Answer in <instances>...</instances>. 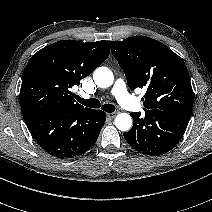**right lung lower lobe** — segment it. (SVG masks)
I'll return each instance as SVG.
<instances>
[{
	"label": "right lung lower lobe",
	"instance_id": "98d812e1",
	"mask_svg": "<svg viewBox=\"0 0 212 212\" xmlns=\"http://www.w3.org/2000/svg\"><path fill=\"white\" fill-rule=\"evenodd\" d=\"M106 115L101 110L48 112L26 121L40 147L50 155L66 159L84 154L96 142Z\"/></svg>",
	"mask_w": 212,
	"mask_h": 212
}]
</instances>
